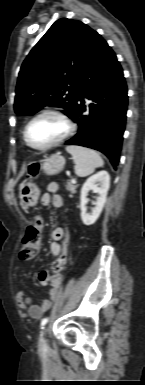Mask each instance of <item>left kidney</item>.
<instances>
[{
  "label": "left kidney",
  "instance_id": "left-kidney-1",
  "mask_svg": "<svg viewBox=\"0 0 145 385\" xmlns=\"http://www.w3.org/2000/svg\"><path fill=\"white\" fill-rule=\"evenodd\" d=\"M110 186V175L108 172L102 170L94 174L84 183L81 189L80 194V209H81V219L83 223L87 226L92 225L99 218L104 204L106 202L107 192ZM92 190L94 193L98 194L96 201L93 202L95 205L91 214L86 212L87 204V195L88 192Z\"/></svg>",
  "mask_w": 145,
  "mask_h": 385
}]
</instances>
